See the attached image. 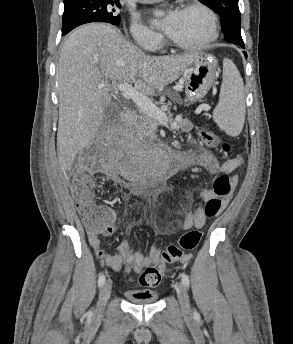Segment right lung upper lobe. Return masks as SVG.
Here are the masks:
<instances>
[{
  "mask_svg": "<svg viewBox=\"0 0 293 344\" xmlns=\"http://www.w3.org/2000/svg\"><path fill=\"white\" fill-rule=\"evenodd\" d=\"M74 1H77V0H64V3H70V2H74Z\"/></svg>",
  "mask_w": 293,
  "mask_h": 344,
  "instance_id": "right-lung-upper-lobe-1",
  "label": "right lung upper lobe"
}]
</instances>
